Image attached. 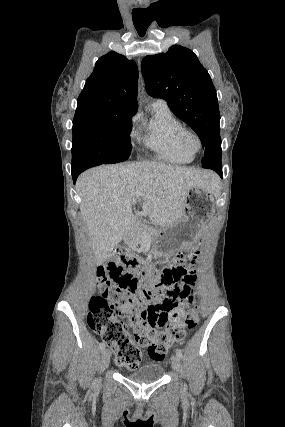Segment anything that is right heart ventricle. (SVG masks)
<instances>
[{
  "label": "right heart ventricle",
  "mask_w": 285,
  "mask_h": 427,
  "mask_svg": "<svg viewBox=\"0 0 285 427\" xmlns=\"http://www.w3.org/2000/svg\"><path fill=\"white\" fill-rule=\"evenodd\" d=\"M141 121L145 130L144 142L158 158L172 163H189L193 160L194 155L186 151L178 139L183 125L165 103H153L150 117Z\"/></svg>",
  "instance_id": "e07e8e85"
}]
</instances>
